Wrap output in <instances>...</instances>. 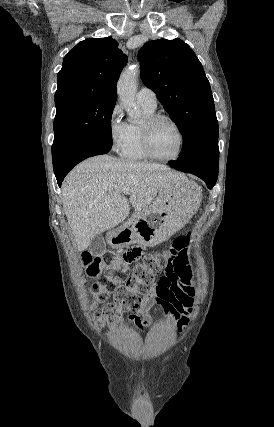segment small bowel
<instances>
[{
	"label": "small bowel",
	"instance_id": "c3829d8e",
	"mask_svg": "<svg viewBox=\"0 0 274 427\" xmlns=\"http://www.w3.org/2000/svg\"><path fill=\"white\" fill-rule=\"evenodd\" d=\"M189 246L179 244L177 247H170V250H177L179 253H171L168 260L179 262L170 264L169 269L164 271V275L154 281L140 301L136 313L129 316L128 323L134 329L143 334L152 325L149 310L154 305H162L171 309L179 318L178 325L183 328L188 323V314L192 311V301L195 295L191 270L189 267L187 251ZM158 317L163 315L158 314Z\"/></svg>",
	"mask_w": 274,
	"mask_h": 427
}]
</instances>
